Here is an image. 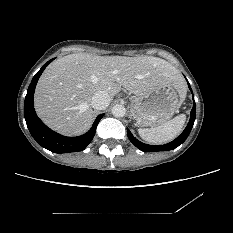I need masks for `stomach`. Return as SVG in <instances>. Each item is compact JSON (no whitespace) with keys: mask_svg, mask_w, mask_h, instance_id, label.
Returning a JSON list of instances; mask_svg holds the SVG:
<instances>
[{"mask_svg":"<svg viewBox=\"0 0 233 233\" xmlns=\"http://www.w3.org/2000/svg\"><path fill=\"white\" fill-rule=\"evenodd\" d=\"M179 108V95L173 85L131 97V113L140 127H156L166 123Z\"/></svg>","mask_w":233,"mask_h":233,"instance_id":"0dacf381","label":"stomach"}]
</instances>
